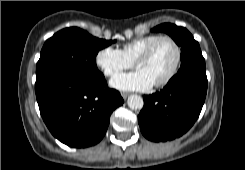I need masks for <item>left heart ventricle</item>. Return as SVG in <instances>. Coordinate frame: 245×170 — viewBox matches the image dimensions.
<instances>
[{
    "label": "left heart ventricle",
    "mask_w": 245,
    "mask_h": 170,
    "mask_svg": "<svg viewBox=\"0 0 245 170\" xmlns=\"http://www.w3.org/2000/svg\"><path fill=\"white\" fill-rule=\"evenodd\" d=\"M175 61V50L167 40L158 42L151 55L140 61L137 69L142 70L153 83L162 80L171 70Z\"/></svg>",
    "instance_id": "obj_1"
}]
</instances>
